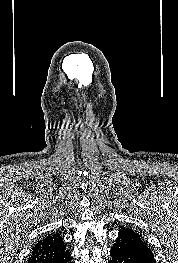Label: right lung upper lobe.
Returning <instances> with one entry per match:
<instances>
[{
	"label": "right lung upper lobe",
	"mask_w": 178,
	"mask_h": 263,
	"mask_svg": "<svg viewBox=\"0 0 178 263\" xmlns=\"http://www.w3.org/2000/svg\"><path fill=\"white\" fill-rule=\"evenodd\" d=\"M65 250L62 237L59 234H49L33 247L28 263H48Z\"/></svg>",
	"instance_id": "right-lung-upper-lobe-1"
}]
</instances>
